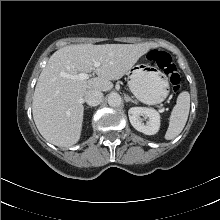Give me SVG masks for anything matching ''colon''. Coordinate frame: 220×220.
I'll list each match as a JSON object with an SVG mask.
<instances>
[{
	"mask_svg": "<svg viewBox=\"0 0 220 220\" xmlns=\"http://www.w3.org/2000/svg\"><path fill=\"white\" fill-rule=\"evenodd\" d=\"M147 58L168 76L173 92H178L181 87V76L171 55L165 51L152 50Z\"/></svg>",
	"mask_w": 220,
	"mask_h": 220,
	"instance_id": "5ec220e1",
	"label": "colon"
}]
</instances>
